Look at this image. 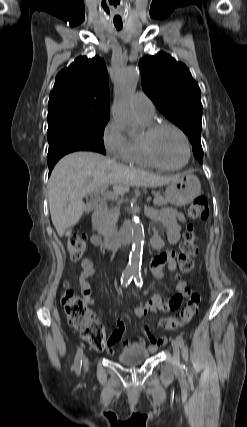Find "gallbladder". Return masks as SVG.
<instances>
[{"mask_svg":"<svg viewBox=\"0 0 247 427\" xmlns=\"http://www.w3.org/2000/svg\"><path fill=\"white\" fill-rule=\"evenodd\" d=\"M86 209H87V211L89 212V211H91L92 209H93V205H92V203H87V205H86Z\"/></svg>","mask_w":247,"mask_h":427,"instance_id":"obj_1","label":"gallbladder"}]
</instances>
